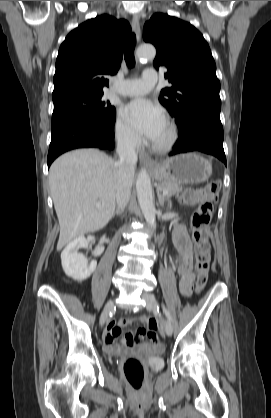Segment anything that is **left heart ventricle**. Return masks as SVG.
<instances>
[{"label":"left heart ventricle","mask_w":271,"mask_h":418,"mask_svg":"<svg viewBox=\"0 0 271 418\" xmlns=\"http://www.w3.org/2000/svg\"><path fill=\"white\" fill-rule=\"evenodd\" d=\"M168 135H169V129H168L167 124H165L164 128L162 129L158 137L154 140V142H157V143L164 142L167 139Z\"/></svg>","instance_id":"obj_1"}]
</instances>
